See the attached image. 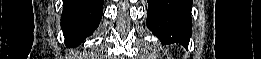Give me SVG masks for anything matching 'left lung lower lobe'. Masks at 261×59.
Masks as SVG:
<instances>
[{
	"label": "left lung lower lobe",
	"mask_w": 261,
	"mask_h": 59,
	"mask_svg": "<svg viewBox=\"0 0 261 59\" xmlns=\"http://www.w3.org/2000/svg\"><path fill=\"white\" fill-rule=\"evenodd\" d=\"M192 0H148L147 27L163 44L188 46Z\"/></svg>",
	"instance_id": "left-lung-lower-lobe-1"
}]
</instances>
